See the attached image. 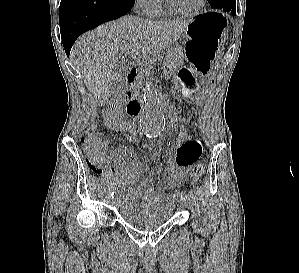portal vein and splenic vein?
<instances>
[{
	"label": "portal vein and splenic vein",
	"instance_id": "obj_1",
	"mask_svg": "<svg viewBox=\"0 0 299 273\" xmlns=\"http://www.w3.org/2000/svg\"><path fill=\"white\" fill-rule=\"evenodd\" d=\"M137 62L140 63L143 59L142 58H136Z\"/></svg>",
	"mask_w": 299,
	"mask_h": 273
}]
</instances>
